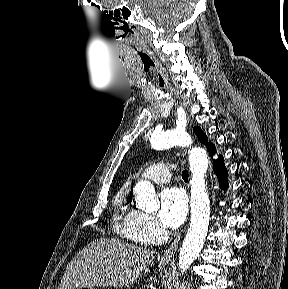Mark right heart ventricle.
Here are the masks:
<instances>
[{"mask_svg":"<svg viewBox=\"0 0 288 289\" xmlns=\"http://www.w3.org/2000/svg\"><path fill=\"white\" fill-rule=\"evenodd\" d=\"M115 216L113 227L115 232L126 239L136 243H143L137 234L134 224L139 211L135 210L130 202L126 189H121L114 200Z\"/></svg>","mask_w":288,"mask_h":289,"instance_id":"obj_1","label":"right heart ventricle"}]
</instances>
